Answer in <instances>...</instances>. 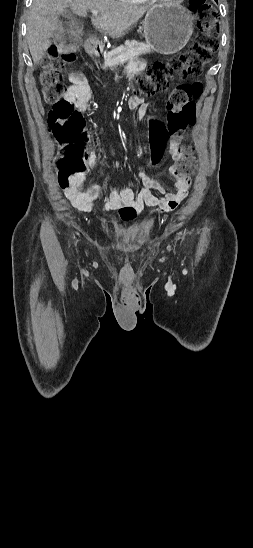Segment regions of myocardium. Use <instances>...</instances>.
Here are the masks:
<instances>
[{
    "mask_svg": "<svg viewBox=\"0 0 253 548\" xmlns=\"http://www.w3.org/2000/svg\"><path fill=\"white\" fill-rule=\"evenodd\" d=\"M151 1H156V2H171L173 0H151Z\"/></svg>",
    "mask_w": 253,
    "mask_h": 548,
    "instance_id": "f54148a6",
    "label": "myocardium"
}]
</instances>
